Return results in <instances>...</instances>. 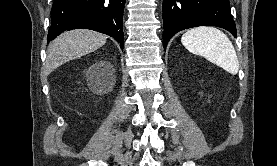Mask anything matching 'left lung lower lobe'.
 Here are the masks:
<instances>
[{"label": "left lung lower lobe", "instance_id": "obj_1", "mask_svg": "<svg viewBox=\"0 0 277 166\" xmlns=\"http://www.w3.org/2000/svg\"><path fill=\"white\" fill-rule=\"evenodd\" d=\"M163 44L179 31L197 26H217L236 37L229 0H163Z\"/></svg>", "mask_w": 277, "mask_h": 166}]
</instances>
